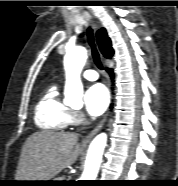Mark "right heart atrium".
Instances as JSON below:
<instances>
[{
    "label": "right heart atrium",
    "instance_id": "1",
    "mask_svg": "<svg viewBox=\"0 0 178 186\" xmlns=\"http://www.w3.org/2000/svg\"><path fill=\"white\" fill-rule=\"evenodd\" d=\"M85 120L84 115L80 111L73 110L71 111V124L79 125Z\"/></svg>",
    "mask_w": 178,
    "mask_h": 186
}]
</instances>
